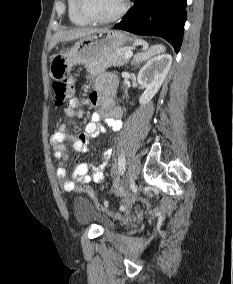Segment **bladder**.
Wrapping results in <instances>:
<instances>
[{
	"label": "bladder",
	"mask_w": 233,
	"mask_h": 284,
	"mask_svg": "<svg viewBox=\"0 0 233 284\" xmlns=\"http://www.w3.org/2000/svg\"><path fill=\"white\" fill-rule=\"evenodd\" d=\"M75 220L81 225L97 223L103 230H112L115 224L112 220L98 213L93 203L86 197H76L72 203Z\"/></svg>",
	"instance_id": "bladder-1"
}]
</instances>
